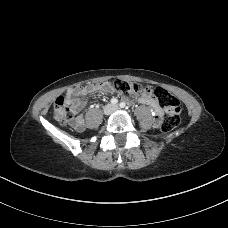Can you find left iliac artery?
<instances>
[{
    "mask_svg": "<svg viewBox=\"0 0 228 228\" xmlns=\"http://www.w3.org/2000/svg\"><path fill=\"white\" fill-rule=\"evenodd\" d=\"M119 106H120L121 108H125V107H126V103L121 102Z\"/></svg>",
    "mask_w": 228,
    "mask_h": 228,
    "instance_id": "44dca946",
    "label": "left iliac artery"
}]
</instances>
